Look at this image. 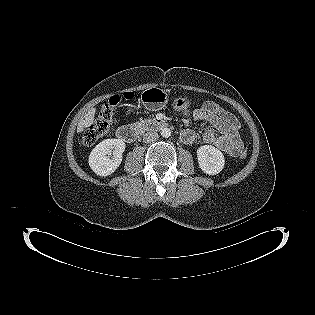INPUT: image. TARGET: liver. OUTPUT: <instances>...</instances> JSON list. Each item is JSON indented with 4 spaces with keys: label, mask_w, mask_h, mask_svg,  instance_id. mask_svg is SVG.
<instances>
[{
    "label": "liver",
    "mask_w": 315,
    "mask_h": 315,
    "mask_svg": "<svg viewBox=\"0 0 315 315\" xmlns=\"http://www.w3.org/2000/svg\"><path fill=\"white\" fill-rule=\"evenodd\" d=\"M95 112H96V109L91 108L87 112V114L82 119H80L78 127H77L78 132H82L85 128H88L93 124Z\"/></svg>",
    "instance_id": "1"
}]
</instances>
